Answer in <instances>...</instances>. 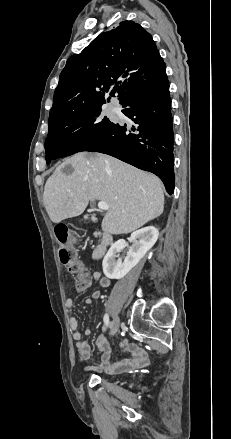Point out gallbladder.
Masks as SVG:
<instances>
[{"label": "gallbladder", "mask_w": 231, "mask_h": 439, "mask_svg": "<svg viewBox=\"0 0 231 439\" xmlns=\"http://www.w3.org/2000/svg\"><path fill=\"white\" fill-rule=\"evenodd\" d=\"M91 220H93V221H94V220H95V218H94V217L92 216V217H91Z\"/></svg>", "instance_id": "obj_1"}]
</instances>
